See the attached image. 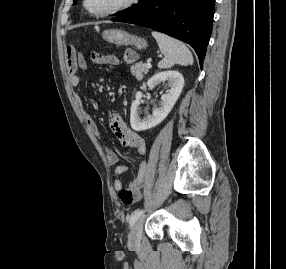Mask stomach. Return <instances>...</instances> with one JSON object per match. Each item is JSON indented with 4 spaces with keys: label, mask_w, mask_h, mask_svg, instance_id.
Returning a JSON list of instances; mask_svg holds the SVG:
<instances>
[{
    "label": "stomach",
    "mask_w": 286,
    "mask_h": 269,
    "mask_svg": "<svg viewBox=\"0 0 286 269\" xmlns=\"http://www.w3.org/2000/svg\"><path fill=\"white\" fill-rule=\"evenodd\" d=\"M103 38L113 44L116 45H135L137 48H145L147 46L146 40L143 38L130 35L129 33L118 30V29H112V30H106L103 32Z\"/></svg>",
    "instance_id": "obj_1"
}]
</instances>
